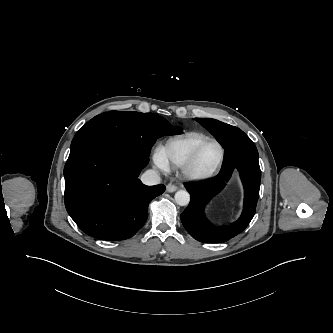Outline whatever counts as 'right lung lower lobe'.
Wrapping results in <instances>:
<instances>
[{"label": "right lung lower lobe", "instance_id": "98d812e1", "mask_svg": "<svg viewBox=\"0 0 333 333\" xmlns=\"http://www.w3.org/2000/svg\"><path fill=\"white\" fill-rule=\"evenodd\" d=\"M148 162L102 137L72 144L64 168L65 206L78 227L101 240L134 236L147 220L149 202L165 191L138 179Z\"/></svg>", "mask_w": 333, "mask_h": 333}]
</instances>
